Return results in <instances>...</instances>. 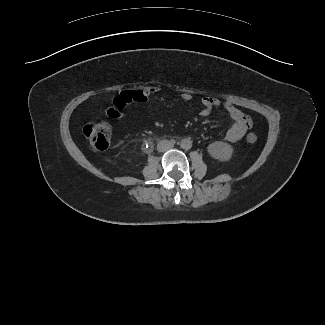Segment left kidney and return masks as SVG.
Masks as SVG:
<instances>
[{
    "mask_svg": "<svg viewBox=\"0 0 325 325\" xmlns=\"http://www.w3.org/2000/svg\"><path fill=\"white\" fill-rule=\"evenodd\" d=\"M207 151L213 158L222 162L229 161L233 154L232 146L221 141H216L208 145Z\"/></svg>",
    "mask_w": 325,
    "mask_h": 325,
    "instance_id": "5707ae66",
    "label": "left kidney"
}]
</instances>
